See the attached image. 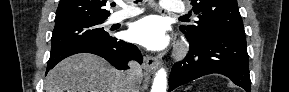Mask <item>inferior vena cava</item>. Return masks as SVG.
Here are the masks:
<instances>
[{
	"label": "inferior vena cava",
	"instance_id": "obj_1",
	"mask_svg": "<svg viewBox=\"0 0 289 92\" xmlns=\"http://www.w3.org/2000/svg\"><path fill=\"white\" fill-rule=\"evenodd\" d=\"M129 69L125 71V82L128 92H135L138 89L137 84L141 81L143 73L142 67L136 61L128 63Z\"/></svg>",
	"mask_w": 289,
	"mask_h": 92
}]
</instances>
